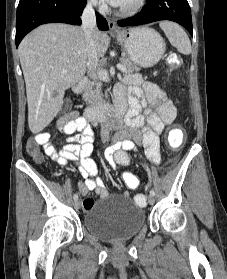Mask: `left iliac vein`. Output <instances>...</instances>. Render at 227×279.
Wrapping results in <instances>:
<instances>
[{
    "instance_id": "obj_1",
    "label": "left iliac vein",
    "mask_w": 227,
    "mask_h": 279,
    "mask_svg": "<svg viewBox=\"0 0 227 279\" xmlns=\"http://www.w3.org/2000/svg\"><path fill=\"white\" fill-rule=\"evenodd\" d=\"M154 202H155L154 196L149 195V197H148V203L152 205V204H154Z\"/></svg>"
}]
</instances>
